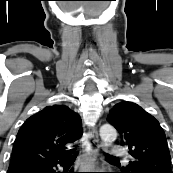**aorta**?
Segmentation results:
<instances>
[{
    "label": "aorta",
    "instance_id": "762f6f07",
    "mask_svg": "<svg viewBox=\"0 0 173 173\" xmlns=\"http://www.w3.org/2000/svg\"><path fill=\"white\" fill-rule=\"evenodd\" d=\"M100 137L104 146L108 147L117 137L116 129L109 124H105L100 128Z\"/></svg>",
    "mask_w": 173,
    "mask_h": 173
}]
</instances>
